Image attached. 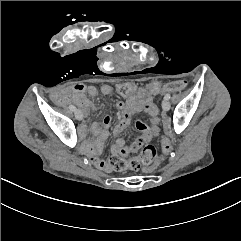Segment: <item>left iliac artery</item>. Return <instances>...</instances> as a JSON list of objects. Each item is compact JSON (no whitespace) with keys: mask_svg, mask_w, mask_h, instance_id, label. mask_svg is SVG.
<instances>
[{"mask_svg":"<svg viewBox=\"0 0 241 241\" xmlns=\"http://www.w3.org/2000/svg\"><path fill=\"white\" fill-rule=\"evenodd\" d=\"M170 97H171V95H170V94H166V95H165V97H164V99L169 100V99H170Z\"/></svg>","mask_w":241,"mask_h":241,"instance_id":"44dca946","label":"left iliac artery"}]
</instances>
